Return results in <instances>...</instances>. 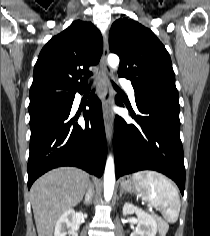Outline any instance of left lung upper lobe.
Returning <instances> with one entry per match:
<instances>
[{
  "label": "left lung upper lobe",
  "mask_w": 210,
  "mask_h": 236,
  "mask_svg": "<svg viewBox=\"0 0 210 236\" xmlns=\"http://www.w3.org/2000/svg\"><path fill=\"white\" fill-rule=\"evenodd\" d=\"M109 47L120 57L118 74L131 81L135 97L179 99L170 56L150 29L132 19H119L111 27Z\"/></svg>",
  "instance_id": "left-lung-upper-lobe-1"
}]
</instances>
